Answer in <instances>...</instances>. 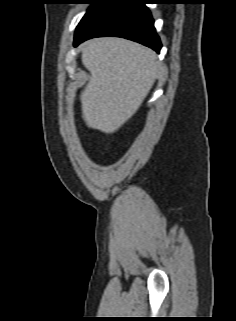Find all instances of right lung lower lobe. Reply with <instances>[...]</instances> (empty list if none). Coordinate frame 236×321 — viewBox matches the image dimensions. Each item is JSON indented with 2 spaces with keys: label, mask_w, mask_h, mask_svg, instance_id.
<instances>
[{
  "label": "right lung lower lobe",
  "mask_w": 236,
  "mask_h": 321,
  "mask_svg": "<svg viewBox=\"0 0 236 321\" xmlns=\"http://www.w3.org/2000/svg\"><path fill=\"white\" fill-rule=\"evenodd\" d=\"M146 0H110L75 34L74 46L102 36L130 39L160 52L161 42Z\"/></svg>",
  "instance_id": "right-lung-lower-lobe-1"
}]
</instances>
